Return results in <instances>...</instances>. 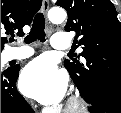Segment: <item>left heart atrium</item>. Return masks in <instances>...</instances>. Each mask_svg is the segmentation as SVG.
I'll return each mask as SVG.
<instances>
[{
    "instance_id": "left-heart-atrium-1",
    "label": "left heart atrium",
    "mask_w": 121,
    "mask_h": 113,
    "mask_svg": "<svg viewBox=\"0 0 121 113\" xmlns=\"http://www.w3.org/2000/svg\"><path fill=\"white\" fill-rule=\"evenodd\" d=\"M20 84L26 95L42 104H56L65 96L67 78L53 62L40 58L24 69Z\"/></svg>"
}]
</instances>
